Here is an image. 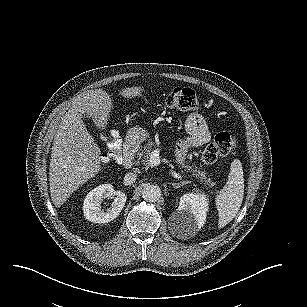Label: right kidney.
Returning <instances> with one entry per match:
<instances>
[{"label":"right kidney","mask_w":307,"mask_h":307,"mask_svg":"<svg viewBox=\"0 0 307 307\" xmlns=\"http://www.w3.org/2000/svg\"><path fill=\"white\" fill-rule=\"evenodd\" d=\"M105 198H113L112 206L106 211L101 209ZM127 196L122 191H115L112 184H102L92 189L83 202L84 217L93 223L104 224L113 221L125 207Z\"/></svg>","instance_id":"1"}]
</instances>
